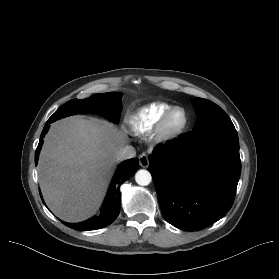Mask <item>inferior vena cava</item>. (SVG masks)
Listing matches in <instances>:
<instances>
[{
    "instance_id": "602c4592",
    "label": "inferior vena cava",
    "mask_w": 279,
    "mask_h": 279,
    "mask_svg": "<svg viewBox=\"0 0 279 279\" xmlns=\"http://www.w3.org/2000/svg\"><path fill=\"white\" fill-rule=\"evenodd\" d=\"M136 156V150L133 146H124L119 149L116 154L117 161H123L126 159H130Z\"/></svg>"
}]
</instances>
